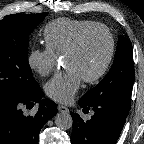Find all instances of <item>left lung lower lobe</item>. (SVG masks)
Returning <instances> with one entry per match:
<instances>
[{
    "mask_svg": "<svg viewBox=\"0 0 144 144\" xmlns=\"http://www.w3.org/2000/svg\"><path fill=\"white\" fill-rule=\"evenodd\" d=\"M79 105L92 107L95 114L84 122L78 114H72V144H116L130 108L112 101H100L91 106L79 101Z\"/></svg>",
    "mask_w": 144,
    "mask_h": 144,
    "instance_id": "obj_1",
    "label": "left lung lower lobe"
}]
</instances>
